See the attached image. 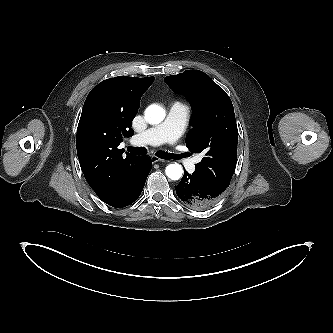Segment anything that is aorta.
I'll return each mask as SVG.
<instances>
[{
	"mask_svg": "<svg viewBox=\"0 0 333 333\" xmlns=\"http://www.w3.org/2000/svg\"><path fill=\"white\" fill-rule=\"evenodd\" d=\"M165 115V110L161 106L156 104L148 106L145 110V118L151 124L161 123L164 120ZM165 172L167 177L171 180H178L182 177L183 168L177 163L170 164L166 167Z\"/></svg>",
	"mask_w": 333,
	"mask_h": 333,
	"instance_id": "1",
	"label": "aorta"
}]
</instances>
